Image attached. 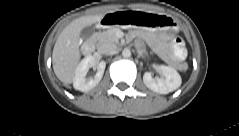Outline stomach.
I'll list each match as a JSON object with an SVG mask.
<instances>
[{"mask_svg":"<svg viewBox=\"0 0 239 136\" xmlns=\"http://www.w3.org/2000/svg\"><path fill=\"white\" fill-rule=\"evenodd\" d=\"M115 24L145 28L152 33H163L177 29L173 20L167 16L141 12H116Z\"/></svg>","mask_w":239,"mask_h":136,"instance_id":"1","label":"stomach"}]
</instances>
